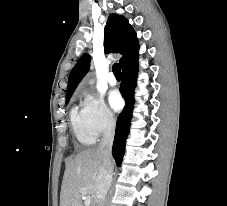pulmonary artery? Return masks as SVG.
<instances>
[{"label":"pulmonary artery","instance_id":"e3ab8cb5","mask_svg":"<svg viewBox=\"0 0 227 206\" xmlns=\"http://www.w3.org/2000/svg\"><path fill=\"white\" fill-rule=\"evenodd\" d=\"M108 83L111 85V86H115L117 84V80L114 76L113 73H110L109 76H108Z\"/></svg>","mask_w":227,"mask_h":206}]
</instances>
